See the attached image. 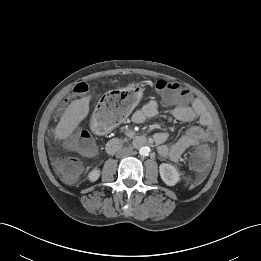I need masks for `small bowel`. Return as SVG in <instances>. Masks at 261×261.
Returning <instances> with one entry per match:
<instances>
[{"mask_svg":"<svg viewBox=\"0 0 261 261\" xmlns=\"http://www.w3.org/2000/svg\"><path fill=\"white\" fill-rule=\"evenodd\" d=\"M159 113V105L156 101H148L141 109L137 110L132 120L135 123H143L147 119L154 118ZM173 117L182 122H192L200 119L201 126L193 125L189 127L183 135L173 144L167 145L168 134L158 132L154 135V141L158 145V152L161 156L169 158L171 161H178L183 153L202 142H213L215 131L211 126L210 118L204 112V105L200 100H194L190 106L175 107L171 111Z\"/></svg>","mask_w":261,"mask_h":261,"instance_id":"obj_1","label":"small bowel"}]
</instances>
